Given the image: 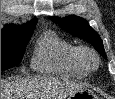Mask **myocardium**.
I'll return each instance as SVG.
<instances>
[{"label":"myocardium","instance_id":"obj_1","mask_svg":"<svg viewBox=\"0 0 115 99\" xmlns=\"http://www.w3.org/2000/svg\"><path fill=\"white\" fill-rule=\"evenodd\" d=\"M78 57L81 64L87 71L96 70L99 67L100 60L95 50L87 46L78 47Z\"/></svg>","mask_w":115,"mask_h":99}]
</instances>
